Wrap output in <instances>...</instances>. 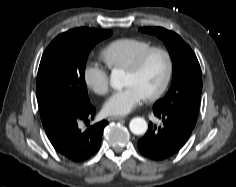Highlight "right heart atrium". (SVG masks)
Listing matches in <instances>:
<instances>
[{"mask_svg": "<svg viewBox=\"0 0 236 187\" xmlns=\"http://www.w3.org/2000/svg\"><path fill=\"white\" fill-rule=\"evenodd\" d=\"M86 86L97 94H105L109 89V77L106 69L96 62L87 63L83 70Z\"/></svg>", "mask_w": 236, "mask_h": 187, "instance_id": "obj_1", "label": "right heart atrium"}]
</instances>
